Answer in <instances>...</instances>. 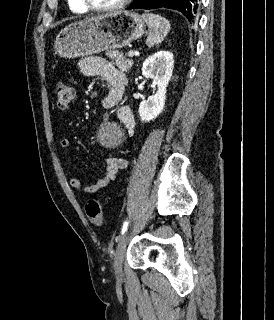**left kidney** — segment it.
Here are the masks:
<instances>
[{
	"label": "left kidney",
	"instance_id": "5707ae66",
	"mask_svg": "<svg viewBox=\"0 0 274 320\" xmlns=\"http://www.w3.org/2000/svg\"><path fill=\"white\" fill-rule=\"evenodd\" d=\"M174 58L171 52H156L149 56L142 66V76L151 78L157 84V92L139 104V116L142 122H151L164 110L167 86L172 78Z\"/></svg>",
	"mask_w": 274,
	"mask_h": 320
}]
</instances>
